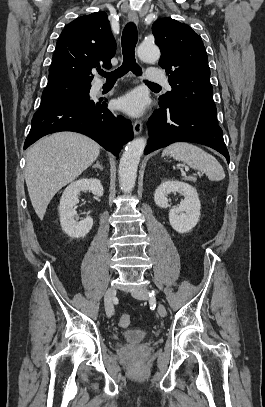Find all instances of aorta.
Wrapping results in <instances>:
<instances>
[{
  "instance_id": "aorta-1",
  "label": "aorta",
  "mask_w": 265,
  "mask_h": 407,
  "mask_svg": "<svg viewBox=\"0 0 265 407\" xmlns=\"http://www.w3.org/2000/svg\"><path fill=\"white\" fill-rule=\"evenodd\" d=\"M137 53L144 62H155L160 58V50L154 44L141 43ZM145 146L146 139L140 137L129 142L125 147L118 171L120 188L124 192H130L135 185L138 164Z\"/></svg>"
}]
</instances>
